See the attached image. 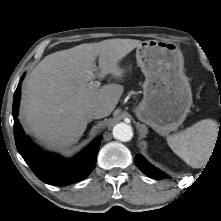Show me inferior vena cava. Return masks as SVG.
I'll return each instance as SVG.
<instances>
[{
  "label": "inferior vena cava",
  "mask_w": 221,
  "mask_h": 221,
  "mask_svg": "<svg viewBox=\"0 0 221 221\" xmlns=\"http://www.w3.org/2000/svg\"><path fill=\"white\" fill-rule=\"evenodd\" d=\"M100 116V109L97 108V107H94V108H88L86 111H85V117L91 121L93 119H97L99 118Z\"/></svg>",
  "instance_id": "inferior-vena-cava-1"
}]
</instances>
